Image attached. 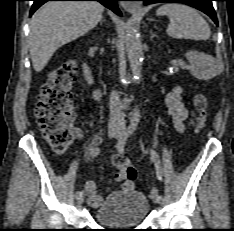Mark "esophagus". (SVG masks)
<instances>
[{
	"label": "esophagus",
	"instance_id": "34e87169",
	"mask_svg": "<svg viewBox=\"0 0 234 231\" xmlns=\"http://www.w3.org/2000/svg\"><path fill=\"white\" fill-rule=\"evenodd\" d=\"M124 8L127 11H135L137 8H139V6H137L135 4H126V5H124Z\"/></svg>",
	"mask_w": 234,
	"mask_h": 231
}]
</instances>
